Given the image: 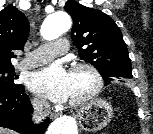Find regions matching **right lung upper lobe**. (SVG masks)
I'll use <instances>...</instances> for the list:
<instances>
[{"mask_svg":"<svg viewBox=\"0 0 153 134\" xmlns=\"http://www.w3.org/2000/svg\"><path fill=\"white\" fill-rule=\"evenodd\" d=\"M29 34L26 16L13 5L0 11V68L12 67L13 51L23 50Z\"/></svg>","mask_w":153,"mask_h":134,"instance_id":"obj_1","label":"right lung upper lobe"}]
</instances>
